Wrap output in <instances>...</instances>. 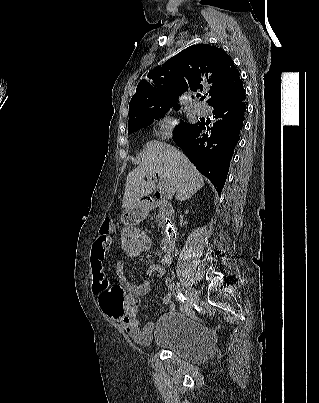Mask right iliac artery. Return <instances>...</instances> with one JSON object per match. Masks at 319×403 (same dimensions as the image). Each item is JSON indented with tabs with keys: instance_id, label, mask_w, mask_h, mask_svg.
<instances>
[{
	"instance_id": "obj_1",
	"label": "right iliac artery",
	"mask_w": 319,
	"mask_h": 403,
	"mask_svg": "<svg viewBox=\"0 0 319 403\" xmlns=\"http://www.w3.org/2000/svg\"><path fill=\"white\" fill-rule=\"evenodd\" d=\"M167 285L170 287V289L173 291L174 295L179 298L183 303L186 302V298L183 296L181 292L177 289L176 285L172 281V279H167L166 280Z\"/></svg>"
}]
</instances>
